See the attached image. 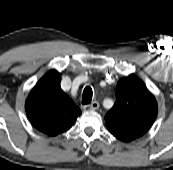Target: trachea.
<instances>
[{"label":"trachea","instance_id":"obj_1","mask_svg":"<svg viewBox=\"0 0 173 170\" xmlns=\"http://www.w3.org/2000/svg\"><path fill=\"white\" fill-rule=\"evenodd\" d=\"M93 92L90 86H86L82 94V104H90L92 101Z\"/></svg>","mask_w":173,"mask_h":170}]
</instances>
